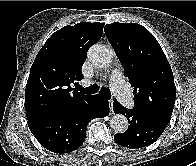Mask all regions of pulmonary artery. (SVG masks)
Returning a JSON list of instances; mask_svg holds the SVG:
<instances>
[{"instance_id":"pulmonary-artery-1","label":"pulmonary artery","mask_w":196,"mask_h":166,"mask_svg":"<svg viewBox=\"0 0 196 166\" xmlns=\"http://www.w3.org/2000/svg\"><path fill=\"white\" fill-rule=\"evenodd\" d=\"M87 85V82L83 83ZM110 87L116 98L126 107L132 105V95L129 93L121 70H114L110 76Z\"/></svg>"}]
</instances>
